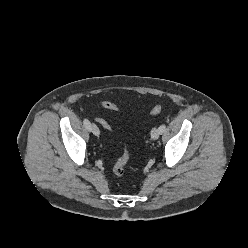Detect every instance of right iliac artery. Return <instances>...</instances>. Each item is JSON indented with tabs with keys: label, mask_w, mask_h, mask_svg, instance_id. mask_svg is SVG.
Returning a JSON list of instances; mask_svg holds the SVG:
<instances>
[{
	"label": "right iliac artery",
	"mask_w": 248,
	"mask_h": 248,
	"mask_svg": "<svg viewBox=\"0 0 248 248\" xmlns=\"http://www.w3.org/2000/svg\"><path fill=\"white\" fill-rule=\"evenodd\" d=\"M83 124H84L86 129L90 130L91 124H90V121L88 119H84Z\"/></svg>",
	"instance_id": "right-iliac-artery-1"
}]
</instances>
